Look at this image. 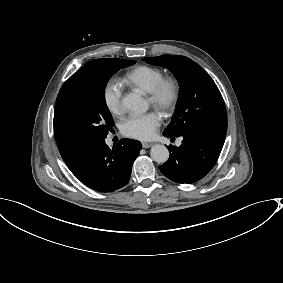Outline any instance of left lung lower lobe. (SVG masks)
Returning a JSON list of instances; mask_svg holds the SVG:
<instances>
[{
    "mask_svg": "<svg viewBox=\"0 0 283 283\" xmlns=\"http://www.w3.org/2000/svg\"><path fill=\"white\" fill-rule=\"evenodd\" d=\"M180 136L183 137L182 144L179 147H168L170 157L159 166V169L174 182L194 183L212 169L220 155L226 135L184 133Z\"/></svg>",
    "mask_w": 283,
    "mask_h": 283,
    "instance_id": "left-lung-lower-lobe-1",
    "label": "left lung lower lobe"
}]
</instances>
